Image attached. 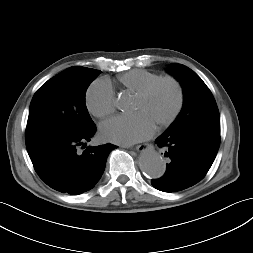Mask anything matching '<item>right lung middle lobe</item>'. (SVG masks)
<instances>
[{"label": "right lung middle lobe", "mask_w": 253, "mask_h": 253, "mask_svg": "<svg viewBox=\"0 0 253 253\" xmlns=\"http://www.w3.org/2000/svg\"><path fill=\"white\" fill-rule=\"evenodd\" d=\"M100 73L96 69L70 67L38 89L30 104L26 127L29 155L95 126L85 104V93Z\"/></svg>", "instance_id": "obj_1"}]
</instances>
